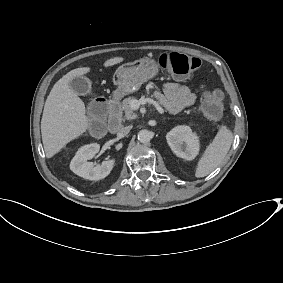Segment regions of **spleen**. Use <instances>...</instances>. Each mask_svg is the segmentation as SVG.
Returning <instances> with one entry per match:
<instances>
[{
    "instance_id": "3e777b00",
    "label": "spleen",
    "mask_w": 283,
    "mask_h": 283,
    "mask_svg": "<svg viewBox=\"0 0 283 283\" xmlns=\"http://www.w3.org/2000/svg\"><path fill=\"white\" fill-rule=\"evenodd\" d=\"M233 132L222 125L213 140L200 155L195 168V177L203 178L212 173L224 160L233 142Z\"/></svg>"
}]
</instances>
